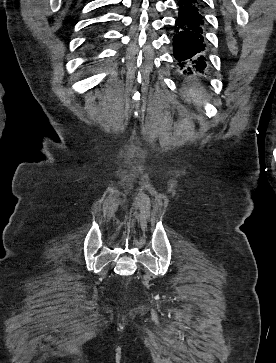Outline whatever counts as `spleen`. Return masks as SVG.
Instances as JSON below:
<instances>
[{
	"mask_svg": "<svg viewBox=\"0 0 276 363\" xmlns=\"http://www.w3.org/2000/svg\"><path fill=\"white\" fill-rule=\"evenodd\" d=\"M186 92L196 106H201L203 102L207 101L202 87L193 84Z\"/></svg>",
	"mask_w": 276,
	"mask_h": 363,
	"instance_id": "3e777b00",
	"label": "spleen"
}]
</instances>
